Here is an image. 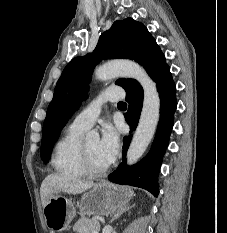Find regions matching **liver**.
<instances>
[{
	"label": "liver",
	"mask_w": 227,
	"mask_h": 233,
	"mask_svg": "<svg viewBox=\"0 0 227 233\" xmlns=\"http://www.w3.org/2000/svg\"><path fill=\"white\" fill-rule=\"evenodd\" d=\"M94 186L92 181L70 178L61 174H49L40 187L42 206L47 204L52 194L64 192L67 194H81Z\"/></svg>",
	"instance_id": "6515ba94"
}]
</instances>
